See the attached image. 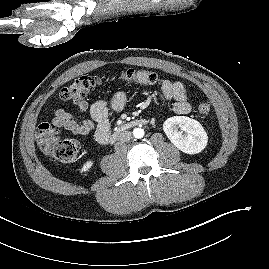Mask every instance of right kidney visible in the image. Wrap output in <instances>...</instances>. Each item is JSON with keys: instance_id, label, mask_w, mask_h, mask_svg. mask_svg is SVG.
<instances>
[{"instance_id": "obj_1", "label": "right kidney", "mask_w": 269, "mask_h": 269, "mask_svg": "<svg viewBox=\"0 0 269 269\" xmlns=\"http://www.w3.org/2000/svg\"><path fill=\"white\" fill-rule=\"evenodd\" d=\"M92 165H93V161L89 160L83 165L82 170L88 171L92 167Z\"/></svg>"}]
</instances>
